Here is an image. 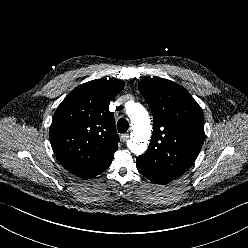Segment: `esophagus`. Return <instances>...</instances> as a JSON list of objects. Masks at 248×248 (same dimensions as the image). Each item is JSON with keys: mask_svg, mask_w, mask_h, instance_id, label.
<instances>
[{"mask_svg": "<svg viewBox=\"0 0 248 248\" xmlns=\"http://www.w3.org/2000/svg\"><path fill=\"white\" fill-rule=\"evenodd\" d=\"M128 137H129V134L128 133H124V134H122L120 136V138H121L122 141H126L128 139Z\"/></svg>", "mask_w": 248, "mask_h": 248, "instance_id": "esophagus-1", "label": "esophagus"}]
</instances>
